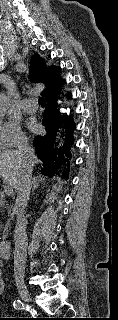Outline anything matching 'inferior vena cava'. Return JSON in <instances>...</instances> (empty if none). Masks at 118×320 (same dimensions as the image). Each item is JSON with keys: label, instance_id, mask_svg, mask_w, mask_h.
Here are the masks:
<instances>
[{"label": "inferior vena cava", "instance_id": "1", "mask_svg": "<svg viewBox=\"0 0 118 320\" xmlns=\"http://www.w3.org/2000/svg\"><path fill=\"white\" fill-rule=\"evenodd\" d=\"M17 151L23 159L24 171L17 188V198L13 207V214L16 215V226L14 230V279L16 282H22L25 276L28 246V239L26 235L27 220L25 218V208L27 206L33 184L32 170L34 150L29 146L28 140L26 138H23L18 144Z\"/></svg>", "mask_w": 118, "mask_h": 320}]
</instances>
